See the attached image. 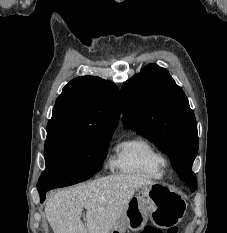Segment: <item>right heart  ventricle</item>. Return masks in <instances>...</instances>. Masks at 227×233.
<instances>
[{
    "label": "right heart ventricle",
    "mask_w": 227,
    "mask_h": 233,
    "mask_svg": "<svg viewBox=\"0 0 227 233\" xmlns=\"http://www.w3.org/2000/svg\"><path fill=\"white\" fill-rule=\"evenodd\" d=\"M112 167L121 173L158 180L165 175L167 159L148 139L135 136L116 146Z\"/></svg>",
    "instance_id": "right-heart-ventricle-1"
}]
</instances>
